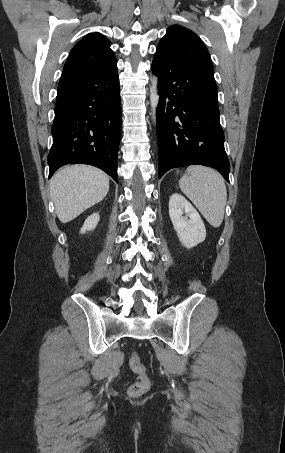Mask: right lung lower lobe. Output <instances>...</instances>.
<instances>
[{
	"mask_svg": "<svg viewBox=\"0 0 285 453\" xmlns=\"http://www.w3.org/2000/svg\"><path fill=\"white\" fill-rule=\"evenodd\" d=\"M49 178L65 164H89L116 182L121 133L117 67L107 71L63 70L58 85Z\"/></svg>",
	"mask_w": 285,
	"mask_h": 453,
	"instance_id": "1",
	"label": "right lung lower lobe"
}]
</instances>
